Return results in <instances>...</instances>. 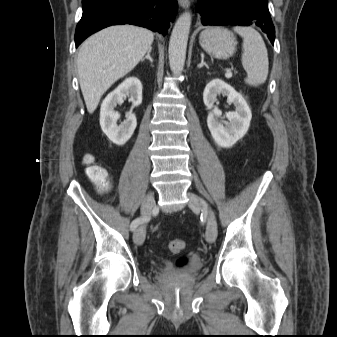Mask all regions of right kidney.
I'll list each match as a JSON object with an SVG mask.
<instances>
[{
	"label": "right kidney",
	"instance_id": "right-kidney-1",
	"mask_svg": "<svg viewBox=\"0 0 337 337\" xmlns=\"http://www.w3.org/2000/svg\"><path fill=\"white\" fill-rule=\"evenodd\" d=\"M126 96L134 106L142 103V84L136 77L125 79L114 91L109 93L101 104L100 125L102 131L110 141L116 145H124L133 135L137 126L136 116L133 113L126 114V120L117 125L120 115L115 112L117 104H121Z\"/></svg>",
	"mask_w": 337,
	"mask_h": 337
}]
</instances>
